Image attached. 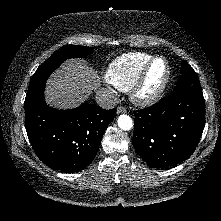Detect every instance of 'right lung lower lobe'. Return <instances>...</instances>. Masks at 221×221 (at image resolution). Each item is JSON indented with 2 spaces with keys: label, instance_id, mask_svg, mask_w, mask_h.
Returning a JSON list of instances; mask_svg holds the SVG:
<instances>
[{
  "label": "right lung lower lobe",
  "instance_id": "obj_1",
  "mask_svg": "<svg viewBox=\"0 0 221 221\" xmlns=\"http://www.w3.org/2000/svg\"><path fill=\"white\" fill-rule=\"evenodd\" d=\"M44 88L45 84L25 98L29 141L50 168L62 172L83 170L94 159L116 109L82 104L71 110H57L45 103Z\"/></svg>",
  "mask_w": 221,
  "mask_h": 221
}]
</instances>
